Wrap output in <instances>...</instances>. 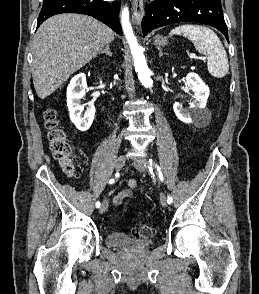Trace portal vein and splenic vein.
I'll list each match as a JSON object with an SVG mask.
<instances>
[{
  "instance_id": "1",
  "label": "portal vein and splenic vein",
  "mask_w": 259,
  "mask_h": 294,
  "mask_svg": "<svg viewBox=\"0 0 259 294\" xmlns=\"http://www.w3.org/2000/svg\"><path fill=\"white\" fill-rule=\"evenodd\" d=\"M190 58L191 59H197L198 57L195 54L192 53V54H190Z\"/></svg>"
}]
</instances>
